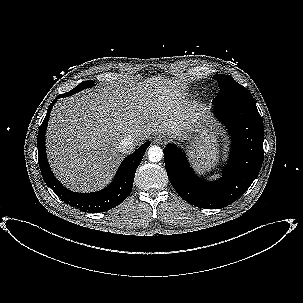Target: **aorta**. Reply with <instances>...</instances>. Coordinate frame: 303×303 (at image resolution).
I'll list each match as a JSON object with an SVG mask.
<instances>
[{
	"label": "aorta",
	"instance_id": "obj_1",
	"mask_svg": "<svg viewBox=\"0 0 303 303\" xmlns=\"http://www.w3.org/2000/svg\"><path fill=\"white\" fill-rule=\"evenodd\" d=\"M147 155L151 162H159L163 158V151L159 146L153 145L148 148Z\"/></svg>",
	"mask_w": 303,
	"mask_h": 303
}]
</instances>
